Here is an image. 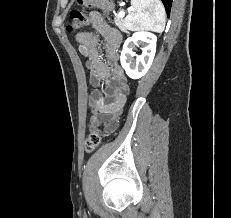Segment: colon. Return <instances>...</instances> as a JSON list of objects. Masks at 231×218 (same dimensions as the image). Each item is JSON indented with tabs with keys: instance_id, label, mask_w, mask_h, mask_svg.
Wrapping results in <instances>:
<instances>
[{
	"instance_id": "5ec220e1",
	"label": "colon",
	"mask_w": 231,
	"mask_h": 218,
	"mask_svg": "<svg viewBox=\"0 0 231 218\" xmlns=\"http://www.w3.org/2000/svg\"><path fill=\"white\" fill-rule=\"evenodd\" d=\"M77 2L89 8L98 7L104 12L109 13L112 9L111 0H77ZM71 23L67 26L68 31L78 29L87 24L86 15L80 10H72L69 14ZM101 143L99 131L95 130L87 137L85 142V150L87 153L93 152Z\"/></svg>"
}]
</instances>
